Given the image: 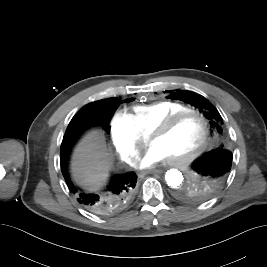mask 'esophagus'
I'll use <instances>...</instances> for the list:
<instances>
[{
	"label": "esophagus",
	"mask_w": 267,
	"mask_h": 267,
	"mask_svg": "<svg viewBox=\"0 0 267 267\" xmlns=\"http://www.w3.org/2000/svg\"><path fill=\"white\" fill-rule=\"evenodd\" d=\"M151 172L153 173V172H155V171H148V172H146V173H151ZM144 174H145V173H141L139 176L142 177Z\"/></svg>",
	"instance_id": "obj_1"
}]
</instances>
